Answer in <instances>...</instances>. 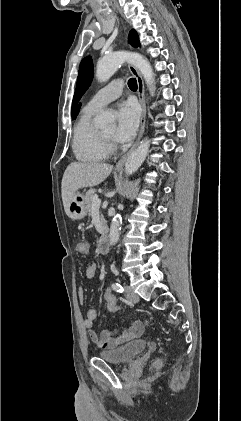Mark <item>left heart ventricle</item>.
<instances>
[{
  "label": "left heart ventricle",
  "instance_id": "obj_1",
  "mask_svg": "<svg viewBox=\"0 0 241 421\" xmlns=\"http://www.w3.org/2000/svg\"><path fill=\"white\" fill-rule=\"evenodd\" d=\"M103 133L105 135L109 136V137H113V135L115 133V128L114 127L108 128V129L104 130Z\"/></svg>",
  "mask_w": 241,
  "mask_h": 421
}]
</instances>
